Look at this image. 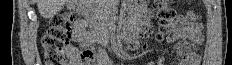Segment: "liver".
Returning <instances> with one entry per match:
<instances>
[{"label":"liver","mask_w":232,"mask_h":65,"mask_svg":"<svg viewBox=\"0 0 232 65\" xmlns=\"http://www.w3.org/2000/svg\"><path fill=\"white\" fill-rule=\"evenodd\" d=\"M68 0H37V7L43 18H51L57 14Z\"/></svg>","instance_id":"6515ba94"}]
</instances>
